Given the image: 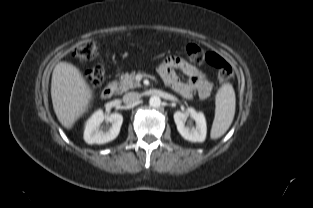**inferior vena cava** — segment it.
<instances>
[{
	"mask_svg": "<svg viewBox=\"0 0 313 208\" xmlns=\"http://www.w3.org/2000/svg\"><path fill=\"white\" fill-rule=\"evenodd\" d=\"M140 94L137 92H129L123 96V102L125 104H134L140 99Z\"/></svg>",
	"mask_w": 313,
	"mask_h": 208,
	"instance_id": "602c4592",
	"label": "inferior vena cava"
}]
</instances>
